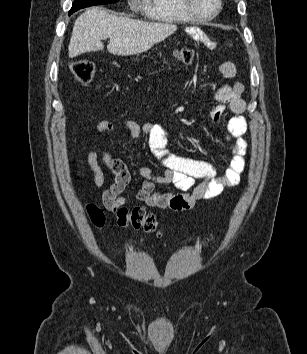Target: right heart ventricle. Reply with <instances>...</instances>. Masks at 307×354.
Wrapping results in <instances>:
<instances>
[{"label": "right heart ventricle", "instance_id": "1", "mask_svg": "<svg viewBox=\"0 0 307 354\" xmlns=\"http://www.w3.org/2000/svg\"><path fill=\"white\" fill-rule=\"evenodd\" d=\"M145 16L165 23H185L191 19L182 11L180 0H142Z\"/></svg>", "mask_w": 307, "mask_h": 354}]
</instances>
